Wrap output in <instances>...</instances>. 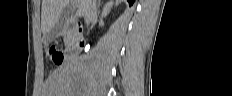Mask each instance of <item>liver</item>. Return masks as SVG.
Wrapping results in <instances>:
<instances>
[{
  "label": "liver",
  "mask_w": 232,
  "mask_h": 96,
  "mask_svg": "<svg viewBox=\"0 0 232 96\" xmlns=\"http://www.w3.org/2000/svg\"><path fill=\"white\" fill-rule=\"evenodd\" d=\"M87 1L75 0L78 6L76 17H81L85 14ZM68 3L69 0H42L41 30L44 35L56 24Z\"/></svg>",
  "instance_id": "liver-1"
}]
</instances>
